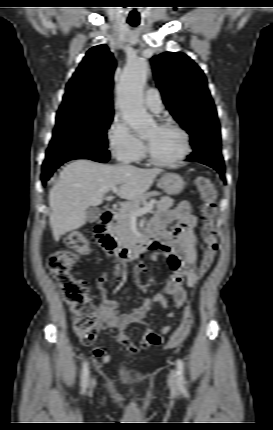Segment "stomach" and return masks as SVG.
Returning <instances> with one entry per match:
<instances>
[{
  "instance_id": "0dacf381",
  "label": "stomach",
  "mask_w": 273,
  "mask_h": 430,
  "mask_svg": "<svg viewBox=\"0 0 273 430\" xmlns=\"http://www.w3.org/2000/svg\"><path fill=\"white\" fill-rule=\"evenodd\" d=\"M158 184L168 195L180 194L185 187L183 178L177 173H164Z\"/></svg>"
}]
</instances>
